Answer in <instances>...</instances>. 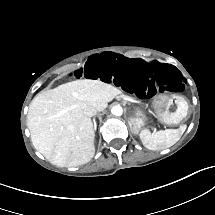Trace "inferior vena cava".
<instances>
[{"mask_svg": "<svg viewBox=\"0 0 215 215\" xmlns=\"http://www.w3.org/2000/svg\"><path fill=\"white\" fill-rule=\"evenodd\" d=\"M83 113L85 116L92 117V116L96 115L97 110L92 106H86L83 109Z\"/></svg>", "mask_w": 215, "mask_h": 215, "instance_id": "inferior-vena-cava-1", "label": "inferior vena cava"}]
</instances>
